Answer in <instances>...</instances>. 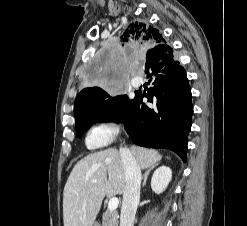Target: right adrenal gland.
I'll use <instances>...</instances> for the list:
<instances>
[{"mask_svg":"<svg viewBox=\"0 0 247 226\" xmlns=\"http://www.w3.org/2000/svg\"><path fill=\"white\" fill-rule=\"evenodd\" d=\"M157 165H158V164L153 165V166H151L150 168H148V169L145 171V173H144V180H143V187L146 185V181H147V178H148V175H149L150 171L153 170Z\"/></svg>","mask_w":247,"mask_h":226,"instance_id":"right-adrenal-gland-1","label":"right adrenal gland"}]
</instances>
